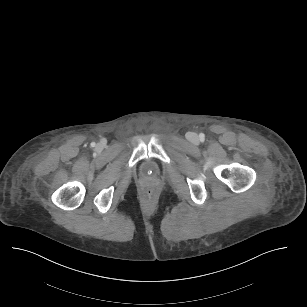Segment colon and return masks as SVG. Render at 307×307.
I'll return each mask as SVG.
<instances>
[{
  "label": "colon",
  "instance_id": "obj_1",
  "mask_svg": "<svg viewBox=\"0 0 307 307\" xmlns=\"http://www.w3.org/2000/svg\"><path fill=\"white\" fill-rule=\"evenodd\" d=\"M142 197L146 201H153L157 197V190L153 186H146L142 190Z\"/></svg>",
  "mask_w": 307,
  "mask_h": 307
}]
</instances>
